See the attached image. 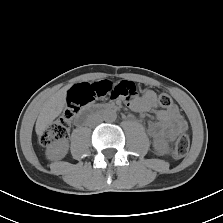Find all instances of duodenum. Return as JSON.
<instances>
[{"mask_svg": "<svg viewBox=\"0 0 223 223\" xmlns=\"http://www.w3.org/2000/svg\"><path fill=\"white\" fill-rule=\"evenodd\" d=\"M118 108L119 107H117L116 105H112V104H101L96 107L89 108V109L85 110L83 115L78 119V124L80 125V124L86 122L91 115H94L98 112L112 111V110H117Z\"/></svg>", "mask_w": 223, "mask_h": 223, "instance_id": "1", "label": "duodenum"}]
</instances>
